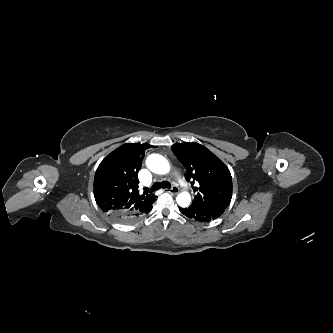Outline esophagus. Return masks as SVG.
Segmentation results:
<instances>
[{"instance_id": "34e87169", "label": "esophagus", "mask_w": 333, "mask_h": 333, "mask_svg": "<svg viewBox=\"0 0 333 333\" xmlns=\"http://www.w3.org/2000/svg\"><path fill=\"white\" fill-rule=\"evenodd\" d=\"M166 192L171 193V194H177L179 193V188L174 186L171 189H165Z\"/></svg>"}]
</instances>
